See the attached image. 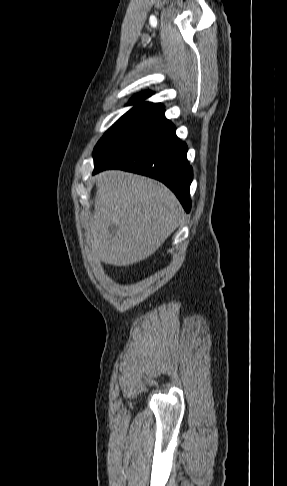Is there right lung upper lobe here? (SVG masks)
<instances>
[{
  "label": "right lung upper lobe",
  "mask_w": 287,
  "mask_h": 486,
  "mask_svg": "<svg viewBox=\"0 0 287 486\" xmlns=\"http://www.w3.org/2000/svg\"><path fill=\"white\" fill-rule=\"evenodd\" d=\"M151 95L152 93L150 91H145L140 94H136L130 99L129 105L135 104V107H151V108L164 110V108L160 103L144 102V100Z\"/></svg>",
  "instance_id": "obj_1"
}]
</instances>
